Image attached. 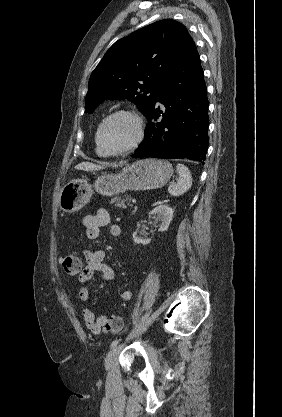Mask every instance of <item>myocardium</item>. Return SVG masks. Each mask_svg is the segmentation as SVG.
Wrapping results in <instances>:
<instances>
[{
	"label": "myocardium",
	"instance_id": "obj_1",
	"mask_svg": "<svg viewBox=\"0 0 282 417\" xmlns=\"http://www.w3.org/2000/svg\"><path fill=\"white\" fill-rule=\"evenodd\" d=\"M119 118H126L133 123L134 129H135L134 136L127 143L121 146L115 147V148H111V147H108L105 142L107 129L113 121ZM143 137H144V125H143L142 118L134 112L126 111V110H118L112 113L111 115H109L103 121L99 130L98 137H97V144H98L99 150L105 155H114V154H119L124 151H127L131 148H134L142 141Z\"/></svg>",
	"mask_w": 282,
	"mask_h": 417
}]
</instances>
